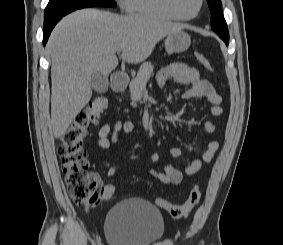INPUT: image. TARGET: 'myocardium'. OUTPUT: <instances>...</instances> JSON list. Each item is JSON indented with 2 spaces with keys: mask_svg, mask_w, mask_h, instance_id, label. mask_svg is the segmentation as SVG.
<instances>
[{
  "mask_svg": "<svg viewBox=\"0 0 283 245\" xmlns=\"http://www.w3.org/2000/svg\"><path fill=\"white\" fill-rule=\"evenodd\" d=\"M163 5H164V8L166 9V11L170 15H172L175 19L182 20V21H189V20L196 18L200 14V12L203 8V5H204V0H198V7H197L196 11L193 14L188 15V16L181 15L177 11V8H176V5H175V0H163Z\"/></svg>",
  "mask_w": 283,
  "mask_h": 245,
  "instance_id": "1",
  "label": "myocardium"
}]
</instances>
